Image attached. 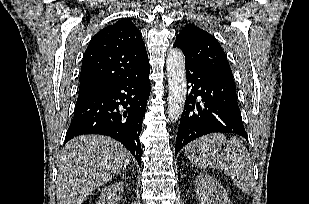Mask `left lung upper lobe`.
<instances>
[{"label":"left lung upper lobe","instance_id":"left-lung-upper-lobe-1","mask_svg":"<svg viewBox=\"0 0 309 204\" xmlns=\"http://www.w3.org/2000/svg\"><path fill=\"white\" fill-rule=\"evenodd\" d=\"M174 47L183 51L186 64L202 66L233 78L227 57L218 41L195 25H185L177 35Z\"/></svg>","mask_w":309,"mask_h":204}]
</instances>
